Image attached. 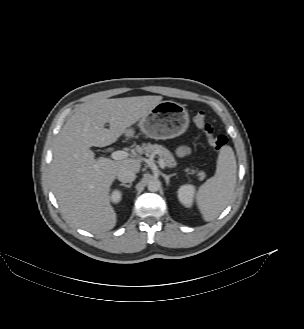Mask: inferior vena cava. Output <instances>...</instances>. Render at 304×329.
Listing matches in <instances>:
<instances>
[{
    "mask_svg": "<svg viewBox=\"0 0 304 329\" xmlns=\"http://www.w3.org/2000/svg\"><path fill=\"white\" fill-rule=\"evenodd\" d=\"M136 178V173L130 169H121L117 173V179L123 183H131Z\"/></svg>",
    "mask_w": 304,
    "mask_h": 329,
    "instance_id": "1",
    "label": "inferior vena cava"
}]
</instances>
